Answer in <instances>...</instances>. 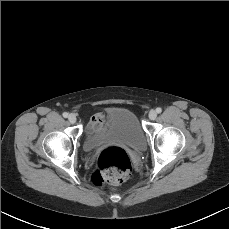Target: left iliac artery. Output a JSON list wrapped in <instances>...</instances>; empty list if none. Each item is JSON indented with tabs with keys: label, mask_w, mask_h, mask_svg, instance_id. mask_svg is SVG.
<instances>
[{
	"label": "left iliac artery",
	"mask_w": 229,
	"mask_h": 229,
	"mask_svg": "<svg viewBox=\"0 0 229 229\" xmlns=\"http://www.w3.org/2000/svg\"><path fill=\"white\" fill-rule=\"evenodd\" d=\"M156 112L157 113H161L162 112V109L158 107V108H156Z\"/></svg>",
	"instance_id": "left-iliac-artery-1"
}]
</instances>
